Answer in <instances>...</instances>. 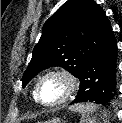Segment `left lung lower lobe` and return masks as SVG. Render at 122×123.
<instances>
[{
	"label": "left lung lower lobe",
	"mask_w": 122,
	"mask_h": 123,
	"mask_svg": "<svg viewBox=\"0 0 122 123\" xmlns=\"http://www.w3.org/2000/svg\"><path fill=\"white\" fill-rule=\"evenodd\" d=\"M116 61L117 43L111 32L79 75L80 89L75 100L70 104L80 102L108 104L112 102L116 96Z\"/></svg>",
	"instance_id": "left-lung-lower-lobe-1"
}]
</instances>
